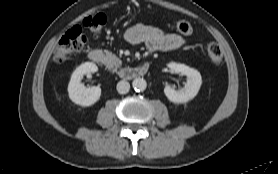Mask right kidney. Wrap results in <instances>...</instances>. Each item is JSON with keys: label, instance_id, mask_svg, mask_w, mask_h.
<instances>
[{"label": "right kidney", "instance_id": "obj_1", "mask_svg": "<svg viewBox=\"0 0 278 174\" xmlns=\"http://www.w3.org/2000/svg\"><path fill=\"white\" fill-rule=\"evenodd\" d=\"M98 67L91 62H85L77 67L71 75V80L68 85L69 98L78 105L91 106L97 102L101 96L100 87L86 88L80 83L85 74L94 73Z\"/></svg>", "mask_w": 278, "mask_h": 174}]
</instances>
